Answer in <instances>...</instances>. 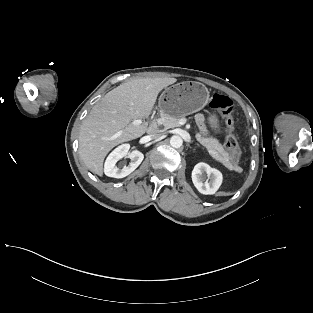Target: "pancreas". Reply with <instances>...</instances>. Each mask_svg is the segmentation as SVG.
<instances>
[{
    "instance_id": "cf45deb5",
    "label": "pancreas",
    "mask_w": 313,
    "mask_h": 313,
    "mask_svg": "<svg viewBox=\"0 0 313 313\" xmlns=\"http://www.w3.org/2000/svg\"><path fill=\"white\" fill-rule=\"evenodd\" d=\"M180 119L181 117L171 116L163 113L161 114V119L159 123L164 126L165 130H167L169 128L178 127L180 125L179 124ZM196 139L201 145H203L207 149L209 155L213 159L220 162L229 170L241 172V168L231 160L228 152L217 140L211 138H204L199 133L196 134Z\"/></svg>"
}]
</instances>
